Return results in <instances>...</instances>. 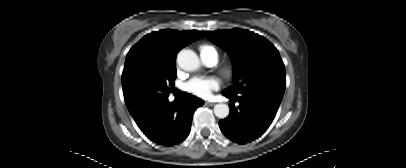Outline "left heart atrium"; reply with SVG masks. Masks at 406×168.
<instances>
[{
  "instance_id": "39dd6f15",
  "label": "left heart atrium",
  "mask_w": 406,
  "mask_h": 168,
  "mask_svg": "<svg viewBox=\"0 0 406 168\" xmlns=\"http://www.w3.org/2000/svg\"><path fill=\"white\" fill-rule=\"evenodd\" d=\"M218 87L219 81L212 77H194L187 83V90L201 98L210 96Z\"/></svg>"
}]
</instances>
